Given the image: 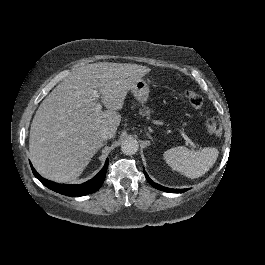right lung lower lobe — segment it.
Instances as JSON below:
<instances>
[{
  "mask_svg": "<svg viewBox=\"0 0 265 265\" xmlns=\"http://www.w3.org/2000/svg\"><path fill=\"white\" fill-rule=\"evenodd\" d=\"M30 165H31V168H32V171L35 177L39 179V181L43 185H45L47 188L57 193L66 195V196L75 197V196H84V195L93 193L101 187V185L104 182L105 176H106V170L108 167V159L106 160L104 167L94 178H92L91 180L83 184H77V185L58 184V183L46 180L42 178L36 172V170L32 167V164Z\"/></svg>",
  "mask_w": 265,
  "mask_h": 265,
  "instance_id": "1",
  "label": "right lung lower lobe"
}]
</instances>
